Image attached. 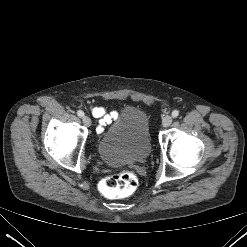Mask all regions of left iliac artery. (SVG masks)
Returning a JSON list of instances; mask_svg holds the SVG:
<instances>
[{"instance_id":"left-iliac-artery-1","label":"left iliac artery","mask_w":247,"mask_h":247,"mask_svg":"<svg viewBox=\"0 0 247 247\" xmlns=\"http://www.w3.org/2000/svg\"><path fill=\"white\" fill-rule=\"evenodd\" d=\"M178 115H179V111L174 110V111L172 112V117H173V118L178 117Z\"/></svg>"}]
</instances>
